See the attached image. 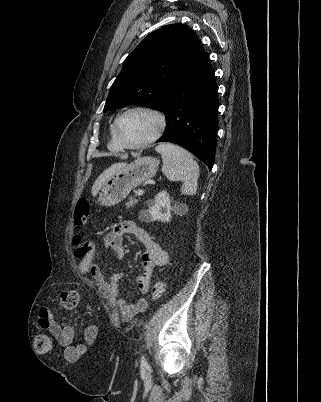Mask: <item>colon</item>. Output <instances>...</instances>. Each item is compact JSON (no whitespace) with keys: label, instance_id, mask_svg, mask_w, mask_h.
I'll return each instance as SVG.
<instances>
[{"label":"colon","instance_id":"1","mask_svg":"<svg viewBox=\"0 0 321 402\" xmlns=\"http://www.w3.org/2000/svg\"><path fill=\"white\" fill-rule=\"evenodd\" d=\"M90 202L87 199H80L74 210L73 223L77 230L83 228L90 214ZM74 247V255L79 261L78 267L81 273H86L90 270L96 256V246L93 242L83 240L80 235H75L72 240ZM166 290V283L163 280H158L152 288V296L159 299L163 296ZM79 292L76 289H70L62 292L60 296V305L65 310H72L79 304ZM35 347L38 352L47 353L52 350V338L46 333H39L35 337Z\"/></svg>","mask_w":321,"mask_h":402}]
</instances>
